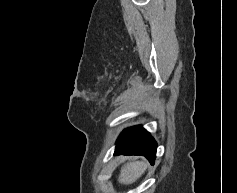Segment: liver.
I'll list each match as a JSON object with an SVG mask.
<instances>
[{
	"label": "liver",
	"mask_w": 237,
	"mask_h": 193,
	"mask_svg": "<svg viewBox=\"0 0 237 193\" xmlns=\"http://www.w3.org/2000/svg\"><path fill=\"white\" fill-rule=\"evenodd\" d=\"M148 163L146 160L132 158L125 163L120 171L118 181L121 184L129 185L138 180L146 171Z\"/></svg>",
	"instance_id": "6515ba94"
}]
</instances>
